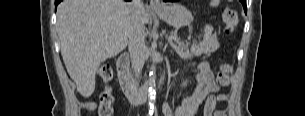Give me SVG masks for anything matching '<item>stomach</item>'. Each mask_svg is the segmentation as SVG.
Here are the masks:
<instances>
[{
  "label": "stomach",
  "instance_id": "1",
  "mask_svg": "<svg viewBox=\"0 0 305 116\" xmlns=\"http://www.w3.org/2000/svg\"><path fill=\"white\" fill-rule=\"evenodd\" d=\"M155 13L175 28L188 25L192 18L191 12L178 3L164 5L161 9L155 10Z\"/></svg>",
  "mask_w": 305,
  "mask_h": 116
}]
</instances>
